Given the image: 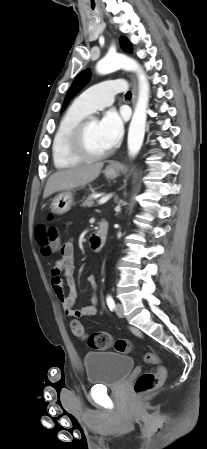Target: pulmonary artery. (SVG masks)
Segmentation results:
<instances>
[{
	"label": "pulmonary artery",
	"mask_w": 207,
	"mask_h": 449,
	"mask_svg": "<svg viewBox=\"0 0 207 449\" xmlns=\"http://www.w3.org/2000/svg\"><path fill=\"white\" fill-rule=\"evenodd\" d=\"M127 86L125 82L118 80H106L99 82L81 93L75 100L80 108L89 113L110 106L117 93L124 92Z\"/></svg>",
	"instance_id": "pulmonary-artery-1"
}]
</instances>
